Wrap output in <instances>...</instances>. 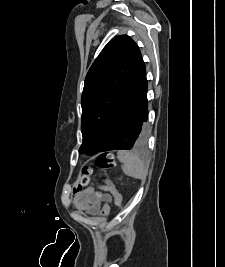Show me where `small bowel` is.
I'll list each match as a JSON object with an SVG mask.
<instances>
[{
    "label": "small bowel",
    "mask_w": 225,
    "mask_h": 267,
    "mask_svg": "<svg viewBox=\"0 0 225 267\" xmlns=\"http://www.w3.org/2000/svg\"><path fill=\"white\" fill-rule=\"evenodd\" d=\"M103 188L111 193L116 204L119 205V199L122 198V195L118 192L112 182L106 181ZM110 200L111 197L109 195H101L93 187H90L83 192L75 194L74 205L80 211L95 215L100 210L102 201L110 202Z\"/></svg>",
    "instance_id": "1"
}]
</instances>
